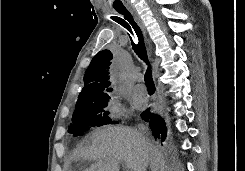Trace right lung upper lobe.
<instances>
[{
  "mask_svg": "<svg viewBox=\"0 0 245 171\" xmlns=\"http://www.w3.org/2000/svg\"><path fill=\"white\" fill-rule=\"evenodd\" d=\"M111 59L112 54L109 50H102L93 57L84 75L85 87L80 92L78 100L105 95L106 91H112L111 88H108L110 82L107 72Z\"/></svg>",
  "mask_w": 245,
  "mask_h": 171,
  "instance_id": "cb5924a9",
  "label": "right lung upper lobe"
}]
</instances>
